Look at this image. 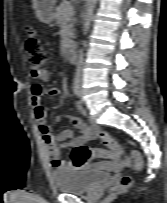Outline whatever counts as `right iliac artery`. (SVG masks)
Instances as JSON below:
<instances>
[{"instance_id": "82829eb1", "label": "right iliac artery", "mask_w": 167, "mask_h": 203, "mask_svg": "<svg viewBox=\"0 0 167 203\" xmlns=\"http://www.w3.org/2000/svg\"><path fill=\"white\" fill-rule=\"evenodd\" d=\"M73 93L79 97L80 96V87H79V83H78V80L75 79L74 80V83H73Z\"/></svg>"}]
</instances>
